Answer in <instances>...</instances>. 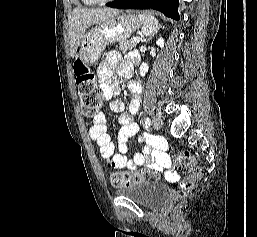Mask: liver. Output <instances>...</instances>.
<instances>
[{"label": "liver", "instance_id": "1", "mask_svg": "<svg viewBox=\"0 0 257 237\" xmlns=\"http://www.w3.org/2000/svg\"><path fill=\"white\" fill-rule=\"evenodd\" d=\"M116 9H85L77 7L73 10L69 20V39H70V55L74 58L78 46L83 39L86 30L95 24H98L115 13Z\"/></svg>", "mask_w": 257, "mask_h": 237}]
</instances>
